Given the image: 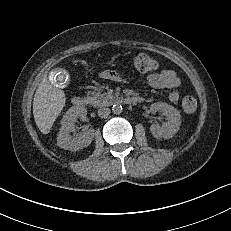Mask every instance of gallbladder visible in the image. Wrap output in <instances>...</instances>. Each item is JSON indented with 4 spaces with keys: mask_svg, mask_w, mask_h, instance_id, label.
I'll return each mask as SVG.
<instances>
[{
    "mask_svg": "<svg viewBox=\"0 0 231 231\" xmlns=\"http://www.w3.org/2000/svg\"><path fill=\"white\" fill-rule=\"evenodd\" d=\"M49 80L58 89H65L70 84V74L64 68H54L49 73Z\"/></svg>",
    "mask_w": 231,
    "mask_h": 231,
    "instance_id": "1",
    "label": "gallbladder"
}]
</instances>
